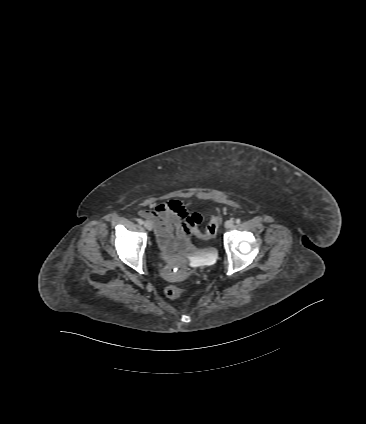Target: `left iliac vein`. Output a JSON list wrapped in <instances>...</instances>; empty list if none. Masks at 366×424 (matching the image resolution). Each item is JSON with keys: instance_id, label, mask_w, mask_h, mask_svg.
Masks as SVG:
<instances>
[{"instance_id": "1", "label": "left iliac vein", "mask_w": 366, "mask_h": 424, "mask_svg": "<svg viewBox=\"0 0 366 424\" xmlns=\"http://www.w3.org/2000/svg\"><path fill=\"white\" fill-rule=\"evenodd\" d=\"M233 225H234L233 220H227V221L225 222V227H226L227 229L232 228V227H233Z\"/></svg>"}]
</instances>
